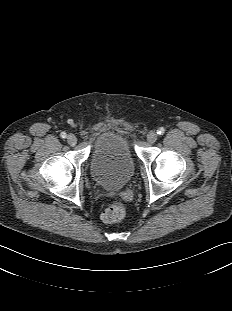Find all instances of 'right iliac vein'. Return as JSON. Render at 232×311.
Wrapping results in <instances>:
<instances>
[{
  "mask_svg": "<svg viewBox=\"0 0 232 311\" xmlns=\"http://www.w3.org/2000/svg\"><path fill=\"white\" fill-rule=\"evenodd\" d=\"M67 142L69 145L74 146L77 143V138L73 134L67 136Z\"/></svg>",
  "mask_w": 232,
  "mask_h": 311,
  "instance_id": "1",
  "label": "right iliac vein"
}]
</instances>
